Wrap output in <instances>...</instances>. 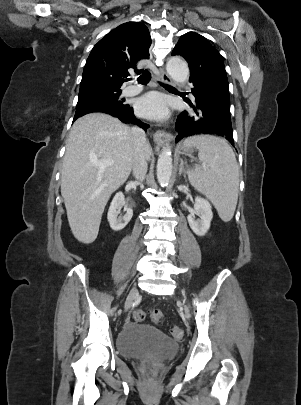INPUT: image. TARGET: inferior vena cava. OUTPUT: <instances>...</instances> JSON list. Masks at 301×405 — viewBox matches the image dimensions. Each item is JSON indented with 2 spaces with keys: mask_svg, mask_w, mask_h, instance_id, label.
<instances>
[{
  "mask_svg": "<svg viewBox=\"0 0 301 405\" xmlns=\"http://www.w3.org/2000/svg\"><path fill=\"white\" fill-rule=\"evenodd\" d=\"M131 133L134 137V158L132 162V171L137 181H143L148 168L144 153V146L147 143V139L144 130L141 128H132Z\"/></svg>",
  "mask_w": 301,
  "mask_h": 405,
  "instance_id": "obj_1",
  "label": "inferior vena cava"
}]
</instances>
